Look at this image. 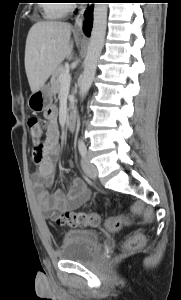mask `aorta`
Listing matches in <instances>:
<instances>
[{
    "mask_svg": "<svg viewBox=\"0 0 181 300\" xmlns=\"http://www.w3.org/2000/svg\"><path fill=\"white\" fill-rule=\"evenodd\" d=\"M107 27V3H95L93 11V27L87 55L84 62V71L79 85L80 97H85L92 85L97 62L104 46Z\"/></svg>",
    "mask_w": 181,
    "mask_h": 300,
    "instance_id": "1",
    "label": "aorta"
}]
</instances>
